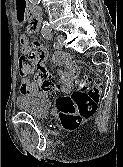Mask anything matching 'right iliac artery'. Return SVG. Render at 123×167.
Segmentation results:
<instances>
[{"label": "right iliac artery", "instance_id": "82829eb1", "mask_svg": "<svg viewBox=\"0 0 123 167\" xmlns=\"http://www.w3.org/2000/svg\"><path fill=\"white\" fill-rule=\"evenodd\" d=\"M48 32V28H45L44 30H43V34H45V33H47Z\"/></svg>", "mask_w": 123, "mask_h": 167}]
</instances>
